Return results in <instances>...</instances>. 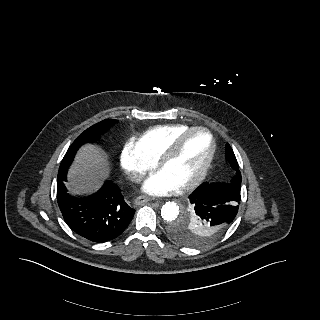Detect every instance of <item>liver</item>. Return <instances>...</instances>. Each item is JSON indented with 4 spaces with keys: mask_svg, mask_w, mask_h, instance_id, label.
Segmentation results:
<instances>
[{
    "mask_svg": "<svg viewBox=\"0 0 320 320\" xmlns=\"http://www.w3.org/2000/svg\"><path fill=\"white\" fill-rule=\"evenodd\" d=\"M108 173V161L104 153L87 145L76 156L65 184L71 194H83L97 188L101 179L105 178Z\"/></svg>",
    "mask_w": 320,
    "mask_h": 320,
    "instance_id": "1",
    "label": "liver"
}]
</instances>
